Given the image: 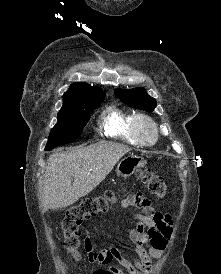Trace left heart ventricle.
I'll return each mask as SVG.
<instances>
[{
	"label": "left heart ventricle",
	"mask_w": 221,
	"mask_h": 274,
	"mask_svg": "<svg viewBox=\"0 0 221 274\" xmlns=\"http://www.w3.org/2000/svg\"><path fill=\"white\" fill-rule=\"evenodd\" d=\"M143 135H144V137H145L146 139H150V138H151V133H150V131H149L148 128H144V130H143Z\"/></svg>",
	"instance_id": "1"
}]
</instances>
